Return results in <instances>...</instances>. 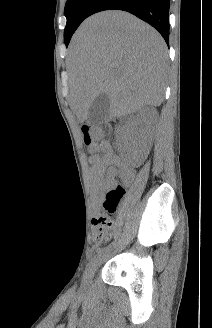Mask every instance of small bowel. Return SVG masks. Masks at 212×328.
<instances>
[{
    "label": "small bowel",
    "mask_w": 212,
    "mask_h": 328,
    "mask_svg": "<svg viewBox=\"0 0 212 328\" xmlns=\"http://www.w3.org/2000/svg\"><path fill=\"white\" fill-rule=\"evenodd\" d=\"M93 155L90 156V177L98 192H103L114 187L115 180L120 177L128 183L133 179L134 171L127 167L112 149L108 142H102L92 148ZM97 152H101V155ZM94 219V226L98 225Z\"/></svg>",
    "instance_id": "1"
}]
</instances>
